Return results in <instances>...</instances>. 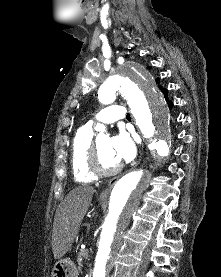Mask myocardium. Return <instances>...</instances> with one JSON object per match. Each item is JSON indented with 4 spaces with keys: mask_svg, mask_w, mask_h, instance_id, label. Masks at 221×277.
<instances>
[{
    "mask_svg": "<svg viewBox=\"0 0 221 277\" xmlns=\"http://www.w3.org/2000/svg\"><path fill=\"white\" fill-rule=\"evenodd\" d=\"M88 168L90 172L96 177H110L120 172L122 169V164L119 163L114 168L108 170L102 168L99 158L98 143L96 140H94L89 151Z\"/></svg>",
    "mask_w": 221,
    "mask_h": 277,
    "instance_id": "f54148a6",
    "label": "myocardium"
}]
</instances>
